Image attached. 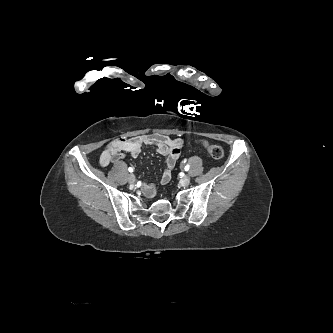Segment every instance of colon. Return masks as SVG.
I'll list each match as a JSON object with an SVG mask.
<instances>
[{"instance_id":"colon-1","label":"colon","mask_w":333,"mask_h":333,"mask_svg":"<svg viewBox=\"0 0 333 333\" xmlns=\"http://www.w3.org/2000/svg\"><path fill=\"white\" fill-rule=\"evenodd\" d=\"M202 145L212 158L219 160L223 157L224 151L221 146L215 144H209L207 142H203Z\"/></svg>"}]
</instances>
